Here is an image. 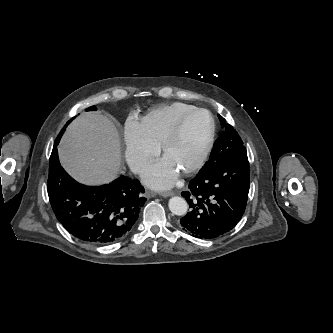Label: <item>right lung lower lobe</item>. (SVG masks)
Wrapping results in <instances>:
<instances>
[{
	"label": "right lung lower lobe",
	"mask_w": 333,
	"mask_h": 333,
	"mask_svg": "<svg viewBox=\"0 0 333 333\" xmlns=\"http://www.w3.org/2000/svg\"><path fill=\"white\" fill-rule=\"evenodd\" d=\"M65 127L55 141L49 161L47 188L52 209L75 238L98 245L116 242L127 235L136 222L146 201L144 187L137 179L123 175L96 187L85 186L71 178L62 168L56 148Z\"/></svg>",
	"instance_id": "right-lung-lower-lobe-1"
}]
</instances>
